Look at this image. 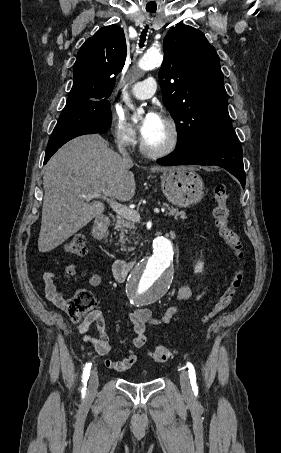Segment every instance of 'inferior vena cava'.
Masks as SVG:
<instances>
[{"label": "inferior vena cava", "mask_w": 281, "mask_h": 453, "mask_svg": "<svg viewBox=\"0 0 281 453\" xmlns=\"http://www.w3.org/2000/svg\"><path fill=\"white\" fill-rule=\"evenodd\" d=\"M124 144H125V140H119V144H118L119 152H121L122 156H124L123 160H125V162H132L128 152H126V150L124 148Z\"/></svg>", "instance_id": "602c4592"}]
</instances>
